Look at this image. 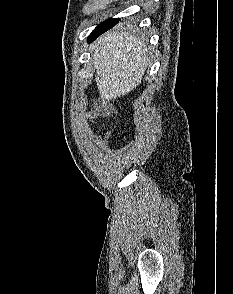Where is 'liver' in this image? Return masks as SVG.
Wrapping results in <instances>:
<instances>
[{
  "label": "liver",
  "mask_w": 233,
  "mask_h": 294,
  "mask_svg": "<svg viewBox=\"0 0 233 294\" xmlns=\"http://www.w3.org/2000/svg\"><path fill=\"white\" fill-rule=\"evenodd\" d=\"M146 43L126 31H110L92 45L95 82L103 105L130 93L150 63Z\"/></svg>",
  "instance_id": "liver-1"
}]
</instances>
